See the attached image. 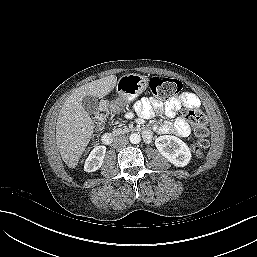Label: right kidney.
I'll return each instance as SVG.
<instances>
[{"label":"right kidney","mask_w":257,"mask_h":257,"mask_svg":"<svg viewBox=\"0 0 257 257\" xmlns=\"http://www.w3.org/2000/svg\"><path fill=\"white\" fill-rule=\"evenodd\" d=\"M106 153L105 146H96L89 154L84 164L86 172H94L98 170L102 164Z\"/></svg>","instance_id":"right-kidney-1"}]
</instances>
